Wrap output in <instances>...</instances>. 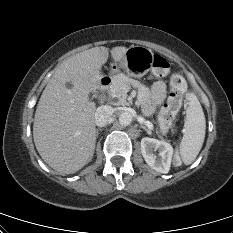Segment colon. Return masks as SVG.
I'll use <instances>...</instances> for the list:
<instances>
[{"label":"colon","instance_id":"1","mask_svg":"<svg viewBox=\"0 0 233 233\" xmlns=\"http://www.w3.org/2000/svg\"><path fill=\"white\" fill-rule=\"evenodd\" d=\"M170 69L169 62L160 55H154L152 61V73L156 77H164L168 74ZM171 92L165 105L162 107L158 123L161 132H167L173 124V121L180 110L183 102V94L186 90V82L179 74H174L170 79ZM173 165L180 167L182 165V158L179 154L173 157Z\"/></svg>","mask_w":233,"mask_h":233}]
</instances>
